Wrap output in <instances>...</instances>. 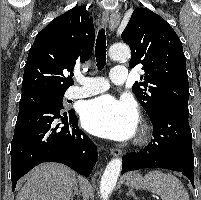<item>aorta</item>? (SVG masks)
Returning <instances> with one entry per match:
<instances>
[{"label": "aorta", "instance_id": "obj_1", "mask_svg": "<svg viewBox=\"0 0 201 200\" xmlns=\"http://www.w3.org/2000/svg\"><path fill=\"white\" fill-rule=\"evenodd\" d=\"M109 55L113 60L126 61L130 57V49L126 44L117 43L110 47ZM121 167L122 160L120 158H114L107 164L100 182V195L103 200H107L114 189Z\"/></svg>", "mask_w": 201, "mask_h": 200}]
</instances>
